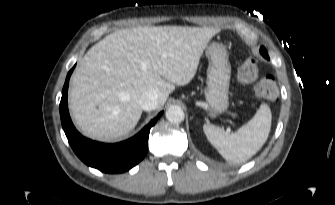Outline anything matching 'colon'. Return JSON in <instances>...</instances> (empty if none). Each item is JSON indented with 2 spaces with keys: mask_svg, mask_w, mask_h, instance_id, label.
I'll list each match as a JSON object with an SVG mask.
<instances>
[{
  "mask_svg": "<svg viewBox=\"0 0 335 205\" xmlns=\"http://www.w3.org/2000/svg\"><path fill=\"white\" fill-rule=\"evenodd\" d=\"M258 76V62L255 58L244 59L238 68L237 79L244 84L252 83ZM254 93L257 97L274 99L278 94L276 83L272 77H264L254 85Z\"/></svg>",
  "mask_w": 335,
  "mask_h": 205,
  "instance_id": "1",
  "label": "colon"
}]
</instances>
